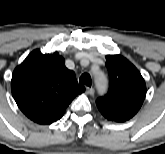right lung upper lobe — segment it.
Segmentation results:
<instances>
[{
	"label": "right lung upper lobe",
	"instance_id": "cb5924a9",
	"mask_svg": "<svg viewBox=\"0 0 165 154\" xmlns=\"http://www.w3.org/2000/svg\"><path fill=\"white\" fill-rule=\"evenodd\" d=\"M11 91L20 110L35 120L69 105L85 87L57 52L42 54L36 49L15 68Z\"/></svg>",
	"mask_w": 165,
	"mask_h": 154
}]
</instances>
